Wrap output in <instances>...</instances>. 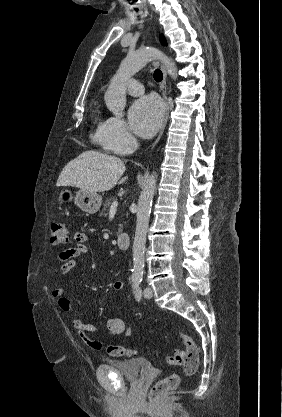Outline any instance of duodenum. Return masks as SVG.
I'll use <instances>...</instances> for the list:
<instances>
[{
    "instance_id": "1",
    "label": "duodenum",
    "mask_w": 282,
    "mask_h": 417,
    "mask_svg": "<svg viewBox=\"0 0 282 417\" xmlns=\"http://www.w3.org/2000/svg\"><path fill=\"white\" fill-rule=\"evenodd\" d=\"M115 242L118 248L125 250L128 248L129 244V235L128 234H118L115 238Z\"/></svg>"
}]
</instances>
